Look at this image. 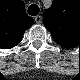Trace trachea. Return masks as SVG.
Returning a JSON list of instances; mask_svg holds the SVG:
<instances>
[{"mask_svg": "<svg viewBox=\"0 0 80 80\" xmlns=\"http://www.w3.org/2000/svg\"><path fill=\"white\" fill-rule=\"evenodd\" d=\"M39 13V7L36 4H32L28 8V14L31 16H36Z\"/></svg>", "mask_w": 80, "mask_h": 80, "instance_id": "trachea-1", "label": "trachea"}]
</instances>
